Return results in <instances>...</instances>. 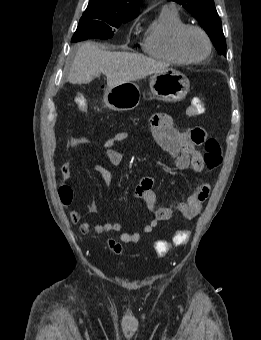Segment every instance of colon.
Returning <instances> with one entry per match:
<instances>
[{"mask_svg":"<svg viewBox=\"0 0 261 340\" xmlns=\"http://www.w3.org/2000/svg\"><path fill=\"white\" fill-rule=\"evenodd\" d=\"M77 106L81 111L87 110V104L83 99L77 101ZM205 109L203 99L194 98L187 108L189 116L201 114ZM204 162L208 169L217 168L222 162V149L219 142L215 138H210L205 143ZM61 202L69 205L73 200V191L68 185H61L58 189ZM190 238V232L187 230H178L170 240H158L154 243V251L157 256H166L173 248L184 245ZM109 247L115 254L121 253V246L113 240L109 241Z\"/></svg>","mask_w":261,"mask_h":340,"instance_id":"1","label":"colon"}]
</instances>
